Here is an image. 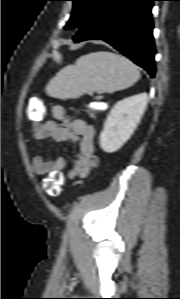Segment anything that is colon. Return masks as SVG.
<instances>
[{"label":"colon","instance_id":"5ec220e1","mask_svg":"<svg viewBox=\"0 0 180 299\" xmlns=\"http://www.w3.org/2000/svg\"><path fill=\"white\" fill-rule=\"evenodd\" d=\"M46 114L45 110H39L36 102H32L29 108V115L42 120ZM64 186V177L61 173L55 172L45 176L42 180V188L52 196H58Z\"/></svg>","mask_w":180,"mask_h":299}]
</instances>
